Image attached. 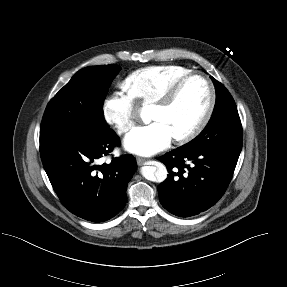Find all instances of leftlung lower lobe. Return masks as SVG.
Wrapping results in <instances>:
<instances>
[{"mask_svg":"<svg viewBox=\"0 0 287 287\" xmlns=\"http://www.w3.org/2000/svg\"><path fill=\"white\" fill-rule=\"evenodd\" d=\"M239 154L219 148L183 145L160 158L169 172L157 189L162 206L180 217L212 207L232 178Z\"/></svg>","mask_w":287,"mask_h":287,"instance_id":"0a47b994","label":"left lung lower lobe"}]
</instances>
